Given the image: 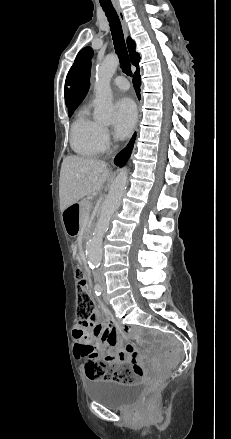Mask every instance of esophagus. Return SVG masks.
Instances as JSON below:
<instances>
[{
  "label": "esophagus",
  "instance_id": "34e87169",
  "mask_svg": "<svg viewBox=\"0 0 231 439\" xmlns=\"http://www.w3.org/2000/svg\"><path fill=\"white\" fill-rule=\"evenodd\" d=\"M116 11H117L119 19L121 21L123 33H124L125 37H127L128 36V26H127V23L125 21L124 14H123L120 7H116ZM111 164H113V160L111 161Z\"/></svg>",
  "mask_w": 231,
  "mask_h": 439
}]
</instances>
